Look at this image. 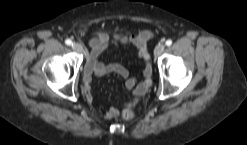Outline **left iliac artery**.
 <instances>
[{
  "mask_svg": "<svg viewBox=\"0 0 247 145\" xmlns=\"http://www.w3.org/2000/svg\"><path fill=\"white\" fill-rule=\"evenodd\" d=\"M171 44H172V40H170V39L165 42L166 46H170Z\"/></svg>",
  "mask_w": 247,
  "mask_h": 145,
  "instance_id": "obj_1",
  "label": "left iliac artery"
}]
</instances>
